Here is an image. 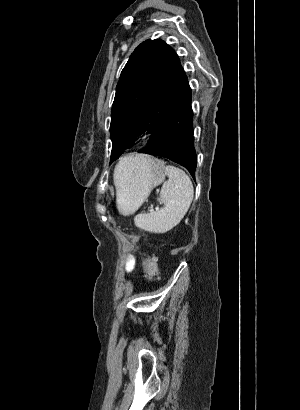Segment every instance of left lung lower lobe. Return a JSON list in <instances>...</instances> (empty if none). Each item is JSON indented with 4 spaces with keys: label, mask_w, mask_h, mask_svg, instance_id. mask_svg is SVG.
<instances>
[{
    "label": "left lung lower lobe",
    "mask_w": 300,
    "mask_h": 410,
    "mask_svg": "<svg viewBox=\"0 0 300 410\" xmlns=\"http://www.w3.org/2000/svg\"><path fill=\"white\" fill-rule=\"evenodd\" d=\"M191 97V88L188 86L181 100L155 128L148 146L138 152L166 157L184 166L195 177L197 158L194 148Z\"/></svg>",
    "instance_id": "obj_1"
}]
</instances>
